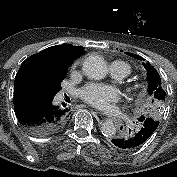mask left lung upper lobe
Segmentation results:
<instances>
[{
	"label": "left lung upper lobe",
	"mask_w": 177,
	"mask_h": 177,
	"mask_svg": "<svg viewBox=\"0 0 177 177\" xmlns=\"http://www.w3.org/2000/svg\"><path fill=\"white\" fill-rule=\"evenodd\" d=\"M127 54L136 57L135 54ZM143 65L147 70L148 94L150 102L146 117H151L155 120H159L160 112L166 100V92L157 70L150 63ZM140 118H143V116ZM140 118H138V121H140Z\"/></svg>",
	"instance_id": "obj_1"
}]
</instances>
